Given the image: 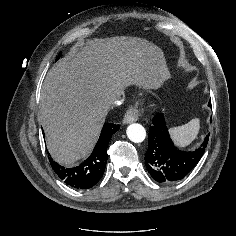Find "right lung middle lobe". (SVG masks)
Here are the masks:
<instances>
[{"mask_svg": "<svg viewBox=\"0 0 236 236\" xmlns=\"http://www.w3.org/2000/svg\"><path fill=\"white\" fill-rule=\"evenodd\" d=\"M59 57H60V54L58 55L57 59H59Z\"/></svg>", "mask_w": 236, "mask_h": 236, "instance_id": "dd1d6c3e", "label": "right lung middle lobe"}]
</instances>
